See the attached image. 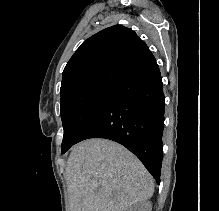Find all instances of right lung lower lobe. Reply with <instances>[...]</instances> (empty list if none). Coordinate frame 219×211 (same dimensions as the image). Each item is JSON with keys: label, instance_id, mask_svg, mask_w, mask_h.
Here are the masks:
<instances>
[{"label": "right lung lower lobe", "instance_id": "1", "mask_svg": "<svg viewBox=\"0 0 219 211\" xmlns=\"http://www.w3.org/2000/svg\"><path fill=\"white\" fill-rule=\"evenodd\" d=\"M165 97L156 61L119 82L77 137L116 141L134 153L160 183Z\"/></svg>", "mask_w": 219, "mask_h": 211}]
</instances>
